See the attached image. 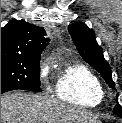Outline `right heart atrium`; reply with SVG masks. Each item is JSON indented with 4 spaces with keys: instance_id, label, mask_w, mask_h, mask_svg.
Listing matches in <instances>:
<instances>
[{
    "instance_id": "1",
    "label": "right heart atrium",
    "mask_w": 122,
    "mask_h": 123,
    "mask_svg": "<svg viewBox=\"0 0 122 123\" xmlns=\"http://www.w3.org/2000/svg\"><path fill=\"white\" fill-rule=\"evenodd\" d=\"M49 74H50V63L47 60H43L39 66L38 79L45 87H48L47 82Z\"/></svg>"
}]
</instances>
